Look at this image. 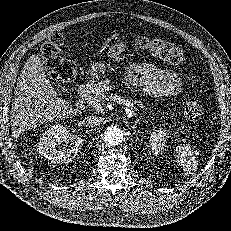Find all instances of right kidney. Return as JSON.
<instances>
[{
  "mask_svg": "<svg viewBox=\"0 0 231 231\" xmlns=\"http://www.w3.org/2000/svg\"><path fill=\"white\" fill-rule=\"evenodd\" d=\"M62 142L66 143V147L60 146ZM82 142L81 137L71 134L63 125L56 124L42 134L38 149L40 155L52 163H70L81 149Z\"/></svg>",
  "mask_w": 231,
  "mask_h": 231,
  "instance_id": "right-kidney-1",
  "label": "right kidney"
}]
</instances>
